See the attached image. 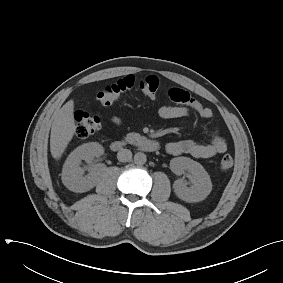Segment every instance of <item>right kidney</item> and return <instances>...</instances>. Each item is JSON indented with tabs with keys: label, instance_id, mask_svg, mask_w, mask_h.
<instances>
[{
	"label": "right kidney",
	"instance_id": "obj_1",
	"mask_svg": "<svg viewBox=\"0 0 283 283\" xmlns=\"http://www.w3.org/2000/svg\"><path fill=\"white\" fill-rule=\"evenodd\" d=\"M104 153L103 147L96 142L86 143L77 147L68 156L62 171V182L71 191L83 193L92 189L98 180L100 168L93 167L89 174L84 176L81 161L91 162L95 157Z\"/></svg>",
	"mask_w": 283,
	"mask_h": 283
}]
</instances>
